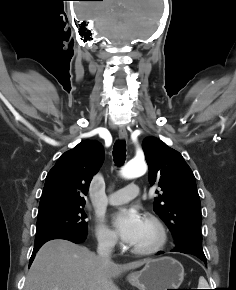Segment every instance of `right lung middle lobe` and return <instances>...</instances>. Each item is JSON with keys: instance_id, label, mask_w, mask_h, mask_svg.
Listing matches in <instances>:
<instances>
[{"instance_id": "obj_1", "label": "right lung middle lobe", "mask_w": 236, "mask_h": 290, "mask_svg": "<svg viewBox=\"0 0 236 290\" xmlns=\"http://www.w3.org/2000/svg\"><path fill=\"white\" fill-rule=\"evenodd\" d=\"M83 206L63 205L39 209L35 241L60 233L86 234L88 223Z\"/></svg>"}]
</instances>
